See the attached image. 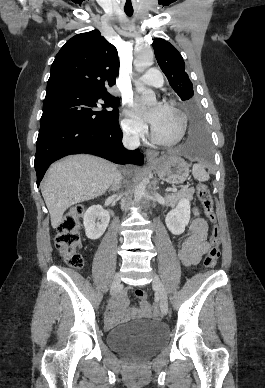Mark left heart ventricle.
I'll list each match as a JSON object with an SVG mask.
<instances>
[{"instance_id":"1","label":"left heart ventricle","mask_w":265,"mask_h":388,"mask_svg":"<svg viewBox=\"0 0 265 388\" xmlns=\"http://www.w3.org/2000/svg\"><path fill=\"white\" fill-rule=\"evenodd\" d=\"M144 87L145 91H155L153 86ZM179 126V121L176 115L171 113L166 108H163L158 122L155 124L157 132L163 137H172L176 134Z\"/></svg>"}]
</instances>
